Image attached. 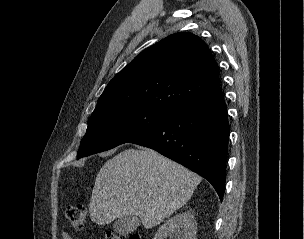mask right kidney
Wrapping results in <instances>:
<instances>
[{
  "instance_id": "1",
  "label": "right kidney",
  "mask_w": 304,
  "mask_h": 239,
  "mask_svg": "<svg viewBox=\"0 0 304 239\" xmlns=\"http://www.w3.org/2000/svg\"><path fill=\"white\" fill-rule=\"evenodd\" d=\"M197 239V223L190 212L179 213L168 219L154 235L153 239Z\"/></svg>"
}]
</instances>
